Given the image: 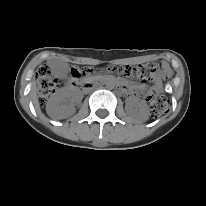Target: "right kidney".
Instances as JSON below:
<instances>
[{
	"label": "right kidney",
	"instance_id": "obj_1",
	"mask_svg": "<svg viewBox=\"0 0 206 206\" xmlns=\"http://www.w3.org/2000/svg\"><path fill=\"white\" fill-rule=\"evenodd\" d=\"M71 99V102H68ZM81 99L78 91L62 90L53 95L46 105V111L52 118H67L74 114L73 102Z\"/></svg>",
	"mask_w": 206,
	"mask_h": 206
}]
</instances>
